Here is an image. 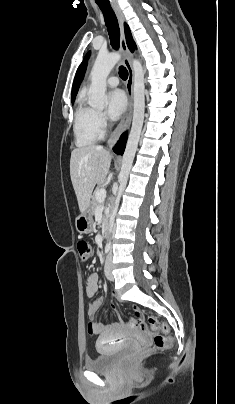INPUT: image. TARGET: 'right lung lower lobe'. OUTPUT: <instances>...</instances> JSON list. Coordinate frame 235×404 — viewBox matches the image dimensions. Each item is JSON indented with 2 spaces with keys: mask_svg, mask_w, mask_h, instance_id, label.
Here are the masks:
<instances>
[{
  "mask_svg": "<svg viewBox=\"0 0 235 404\" xmlns=\"http://www.w3.org/2000/svg\"><path fill=\"white\" fill-rule=\"evenodd\" d=\"M126 139H127V134L123 133L119 139V141L117 142V144L115 145V147L113 148L114 152L117 154H123L124 149H125V143H126Z\"/></svg>",
  "mask_w": 235,
  "mask_h": 404,
  "instance_id": "98d812e1",
  "label": "right lung lower lobe"
}]
</instances>
